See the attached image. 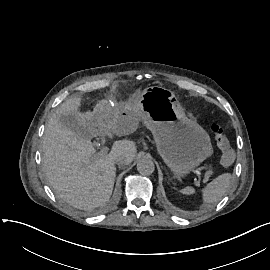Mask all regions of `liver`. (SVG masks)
Returning a JSON list of instances; mask_svg holds the SVG:
<instances>
[{"instance_id":"liver-1","label":"liver","mask_w":270,"mask_h":270,"mask_svg":"<svg viewBox=\"0 0 270 270\" xmlns=\"http://www.w3.org/2000/svg\"><path fill=\"white\" fill-rule=\"evenodd\" d=\"M114 85L106 92L101 109L82 111L83 98L71 97L62 103L45 130L43 138V163L45 174L60 198L77 208H93L109 200L116 177V157H125L128 164L134 161L137 147L133 141H115L107 155L96 151L85 131L102 129L125 136L137 131L143 109L137 104L140 93L128 100L126 116L110 120V104L118 99ZM106 106V107H105ZM73 115L83 126L84 132L74 133L65 126L62 116Z\"/></svg>"}]
</instances>
